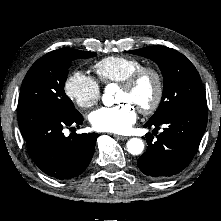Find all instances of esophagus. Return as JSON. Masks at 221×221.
<instances>
[{"mask_svg":"<svg viewBox=\"0 0 221 221\" xmlns=\"http://www.w3.org/2000/svg\"><path fill=\"white\" fill-rule=\"evenodd\" d=\"M114 137L117 138V139H119V140H122V141L128 139V137H126V136H121V135H114Z\"/></svg>","mask_w":221,"mask_h":221,"instance_id":"34e87169","label":"esophagus"}]
</instances>
